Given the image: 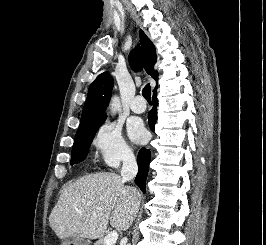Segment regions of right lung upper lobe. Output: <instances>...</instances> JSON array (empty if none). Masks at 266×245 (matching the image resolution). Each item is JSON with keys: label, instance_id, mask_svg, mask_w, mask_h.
<instances>
[{"label": "right lung upper lobe", "instance_id": "1", "mask_svg": "<svg viewBox=\"0 0 266 245\" xmlns=\"http://www.w3.org/2000/svg\"><path fill=\"white\" fill-rule=\"evenodd\" d=\"M135 70L142 67L156 81L158 73L153 69L156 63V50L150 39L140 30V48L137 47L129 56ZM113 78L108 72L100 74L90 85L84 104L80 125L107 116L104 112L111 98Z\"/></svg>", "mask_w": 266, "mask_h": 245}]
</instances>
